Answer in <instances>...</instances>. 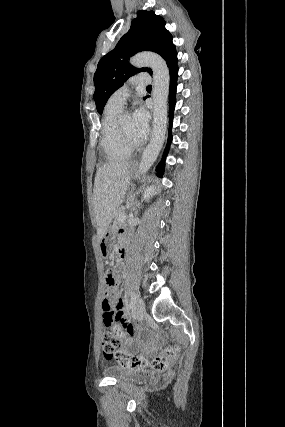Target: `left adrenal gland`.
<instances>
[{
    "instance_id": "obj_1",
    "label": "left adrenal gland",
    "mask_w": 285,
    "mask_h": 427,
    "mask_svg": "<svg viewBox=\"0 0 285 427\" xmlns=\"http://www.w3.org/2000/svg\"><path fill=\"white\" fill-rule=\"evenodd\" d=\"M131 203H130V206L132 207V210H135V206H134V198L133 197H131Z\"/></svg>"
}]
</instances>
